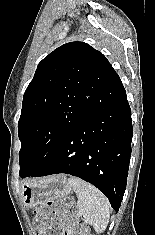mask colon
I'll use <instances>...</instances> for the list:
<instances>
[{
    "label": "colon",
    "instance_id": "5ec220e1",
    "mask_svg": "<svg viewBox=\"0 0 155 235\" xmlns=\"http://www.w3.org/2000/svg\"><path fill=\"white\" fill-rule=\"evenodd\" d=\"M60 224L64 225L62 232ZM34 226L36 235H91L86 224L74 217V205L70 199L40 206L34 218Z\"/></svg>",
    "mask_w": 155,
    "mask_h": 235
}]
</instances>
